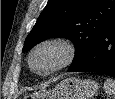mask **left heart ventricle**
Segmentation results:
<instances>
[{
    "mask_svg": "<svg viewBox=\"0 0 115 99\" xmlns=\"http://www.w3.org/2000/svg\"><path fill=\"white\" fill-rule=\"evenodd\" d=\"M62 57L63 53L58 47H45L35 54L33 66L38 71H47L58 65Z\"/></svg>",
    "mask_w": 115,
    "mask_h": 99,
    "instance_id": "obj_1",
    "label": "left heart ventricle"
}]
</instances>
